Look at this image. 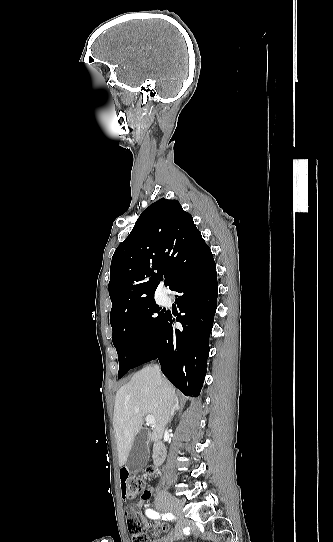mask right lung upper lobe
I'll return each mask as SVG.
<instances>
[{"mask_svg": "<svg viewBox=\"0 0 333 542\" xmlns=\"http://www.w3.org/2000/svg\"><path fill=\"white\" fill-rule=\"evenodd\" d=\"M202 239L178 201L161 198L146 208L112 257L110 319L154 302L163 274L170 287L176 281L179 249Z\"/></svg>", "mask_w": 333, "mask_h": 542, "instance_id": "cb5924a9", "label": "right lung upper lobe"}]
</instances>
